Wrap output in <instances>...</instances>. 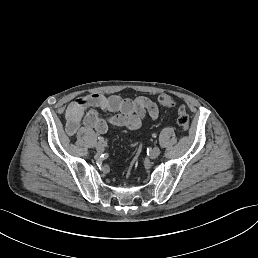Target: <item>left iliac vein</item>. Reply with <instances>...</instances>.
Listing matches in <instances>:
<instances>
[{"label":"left iliac vein","mask_w":258,"mask_h":258,"mask_svg":"<svg viewBox=\"0 0 258 258\" xmlns=\"http://www.w3.org/2000/svg\"><path fill=\"white\" fill-rule=\"evenodd\" d=\"M160 148L159 147H154L151 154H149V159H155L158 157L159 153H160Z\"/></svg>","instance_id":"obj_1"}]
</instances>
